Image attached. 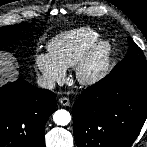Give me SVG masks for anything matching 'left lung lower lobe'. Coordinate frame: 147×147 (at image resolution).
<instances>
[{"mask_svg":"<svg viewBox=\"0 0 147 147\" xmlns=\"http://www.w3.org/2000/svg\"><path fill=\"white\" fill-rule=\"evenodd\" d=\"M147 118V73L111 71L74 103L78 147H130Z\"/></svg>","mask_w":147,"mask_h":147,"instance_id":"left-lung-lower-lobe-1","label":"left lung lower lobe"}]
</instances>
